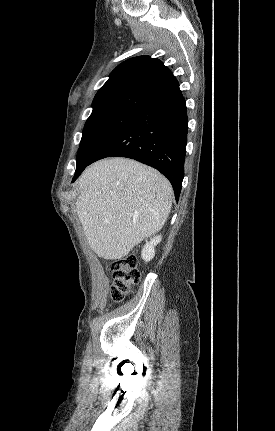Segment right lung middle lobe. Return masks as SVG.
<instances>
[{
  "label": "right lung middle lobe",
  "instance_id": "right-lung-middle-lobe-1",
  "mask_svg": "<svg viewBox=\"0 0 275 431\" xmlns=\"http://www.w3.org/2000/svg\"><path fill=\"white\" fill-rule=\"evenodd\" d=\"M136 110L115 109L91 114L85 123L76 158V172L85 168Z\"/></svg>",
  "mask_w": 275,
  "mask_h": 431
}]
</instances>
